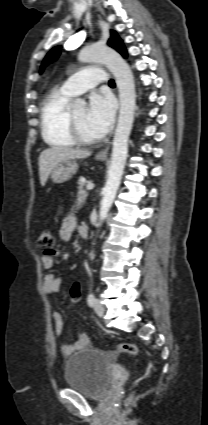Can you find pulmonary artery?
I'll return each instance as SVG.
<instances>
[{
  "instance_id": "obj_1",
  "label": "pulmonary artery",
  "mask_w": 208,
  "mask_h": 425,
  "mask_svg": "<svg viewBox=\"0 0 208 425\" xmlns=\"http://www.w3.org/2000/svg\"><path fill=\"white\" fill-rule=\"evenodd\" d=\"M105 82H107V75L102 68L87 67L68 78L63 83L62 89L66 93L76 96L94 88L99 83Z\"/></svg>"
}]
</instances>
